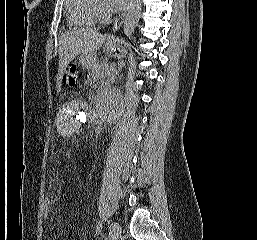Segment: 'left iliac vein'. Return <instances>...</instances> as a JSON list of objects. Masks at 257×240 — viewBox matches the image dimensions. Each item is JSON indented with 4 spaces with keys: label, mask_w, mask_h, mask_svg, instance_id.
<instances>
[{
    "label": "left iliac vein",
    "mask_w": 257,
    "mask_h": 240,
    "mask_svg": "<svg viewBox=\"0 0 257 240\" xmlns=\"http://www.w3.org/2000/svg\"><path fill=\"white\" fill-rule=\"evenodd\" d=\"M121 234V226L118 222L113 221L109 226V240H118Z\"/></svg>",
    "instance_id": "4c4485c4"
}]
</instances>
